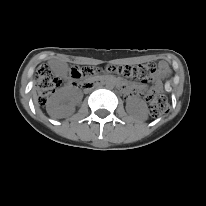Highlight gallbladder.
Returning a JSON list of instances; mask_svg holds the SVG:
<instances>
[{"instance_id": "1", "label": "gallbladder", "mask_w": 206, "mask_h": 206, "mask_svg": "<svg viewBox=\"0 0 206 206\" xmlns=\"http://www.w3.org/2000/svg\"><path fill=\"white\" fill-rule=\"evenodd\" d=\"M51 66L53 73L57 76H64L68 70V66L66 63L55 62L51 64Z\"/></svg>"}]
</instances>
